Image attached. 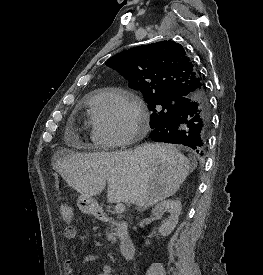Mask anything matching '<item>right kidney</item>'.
<instances>
[{
	"mask_svg": "<svg viewBox=\"0 0 263 275\" xmlns=\"http://www.w3.org/2000/svg\"><path fill=\"white\" fill-rule=\"evenodd\" d=\"M181 208L182 206L179 200H164L153 208L152 214L157 218L161 217V213L164 210H168L170 212L169 219L160 227V233L163 237L168 236L175 229L179 220Z\"/></svg>",
	"mask_w": 263,
	"mask_h": 275,
	"instance_id": "obj_1",
	"label": "right kidney"
}]
</instances>
